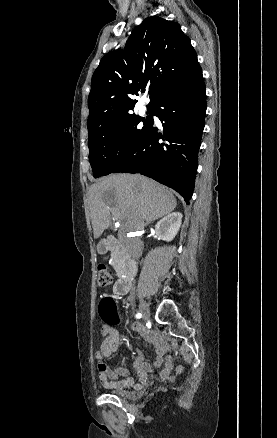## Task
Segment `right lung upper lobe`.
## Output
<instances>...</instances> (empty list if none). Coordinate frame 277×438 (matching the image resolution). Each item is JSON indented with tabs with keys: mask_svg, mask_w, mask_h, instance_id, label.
<instances>
[{
	"mask_svg": "<svg viewBox=\"0 0 277 438\" xmlns=\"http://www.w3.org/2000/svg\"><path fill=\"white\" fill-rule=\"evenodd\" d=\"M177 63L169 71L167 64ZM201 71L197 54L177 22L158 16L146 18L130 35L124 53H107L95 70L88 98L87 127L131 114L133 97L149 86L152 106L167 88Z\"/></svg>",
	"mask_w": 277,
	"mask_h": 438,
	"instance_id": "cb5924a9",
	"label": "right lung upper lobe"
}]
</instances>
